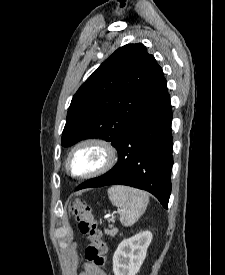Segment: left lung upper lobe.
Wrapping results in <instances>:
<instances>
[{
	"label": "left lung upper lobe",
	"mask_w": 225,
	"mask_h": 275,
	"mask_svg": "<svg viewBox=\"0 0 225 275\" xmlns=\"http://www.w3.org/2000/svg\"><path fill=\"white\" fill-rule=\"evenodd\" d=\"M165 85L162 68L143 44L120 47L73 96L62 146L101 138L117 148L130 125Z\"/></svg>",
	"instance_id": "5c2ea615"
}]
</instances>
